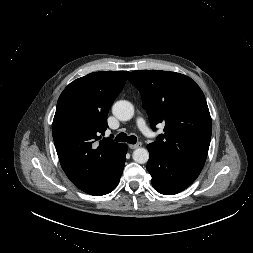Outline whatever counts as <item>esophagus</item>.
I'll return each instance as SVG.
<instances>
[{"instance_id":"34e87169","label":"esophagus","mask_w":253,"mask_h":253,"mask_svg":"<svg viewBox=\"0 0 253 253\" xmlns=\"http://www.w3.org/2000/svg\"><path fill=\"white\" fill-rule=\"evenodd\" d=\"M141 142H139V143H137V144H130L129 145V148L130 149H136V148H139V147H141Z\"/></svg>"}]
</instances>
